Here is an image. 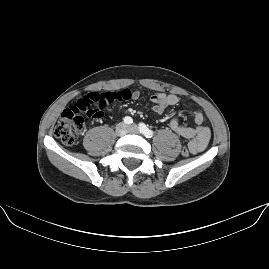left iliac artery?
Listing matches in <instances>:
<instances>
[{
  "label": "left iliac artery",
  "instance_id": "1",
  "mask_svg": "<svg viewBox=\"0 0 269 269\" xmlns=\"http://www.w3.org/2000/svg\"><path fill=\"white\" fill-rule=\"evenodd\" d=\"M139 131L147 138H151L154 135V132L150 130L144 123H139Z\"/></svg>",
  "mask_w": 269,
  "mask_h": 269
}]
</instances>
